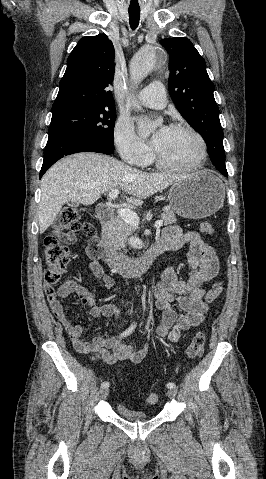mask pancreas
<instances>
[{
    "mask_svg": "<svg viewBox=\"0 0 266 479\" xmlns=\"http://www.w3.org/2000/svg\"><path fill=\"white\" fill-rule=\"evenodd\" d=\"M160 217L163 220L164 225L176 223L177 221L176 216L171 209H166ZM135 230V226L126 223L120 216H117L111 222L110 231L105 234L107 248L110 251L121 250L126 246L128 236H130Z\"/></svg>",
    "mask_w": 266,
    "mask_h": 479,
    "instance_id": "pancreas-1",
    "label": "pancreas"
}]
</instances>
